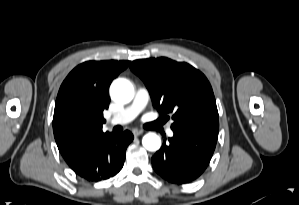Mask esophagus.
<instances>
[{
	"label": "esophagus",
	"instance_id": "obj_1",
	"mask_svg": "<svg viewBox=\"0 0 299 205\" xmlns=\"http://www.w3.org/2000/svg\"><path fill=\"white\" fill-rule=\"evenodd\" d=\"M132 133H133V135H134L135 137H137V136L141 135V134L143 133V131H142V130H138V129H134V130L132 131Z\"/></svg>",
	"mask_w": 299,
	"mask_h": 205
}]
</instances>
